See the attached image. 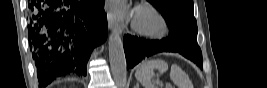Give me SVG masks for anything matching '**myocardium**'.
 I'll use <instances>...</instances> for the list:
<instances>
[{
  "label": "myocardium",
  "instance_id": "1",
  "mask_svg": "<svg viewBox=\"0 0 267 88\" xmlns=\"http://www.w3.org/2000/svg\"><path fill=\"white\" fill-rule=\"evenodd\" d=\"M132 28L138 34L153 39H161L168 32L164 17L147 5H139L134 9Z\"/></svg>",
  "mask_w": 267,
  "mask_h": 88
}]
</instances>
